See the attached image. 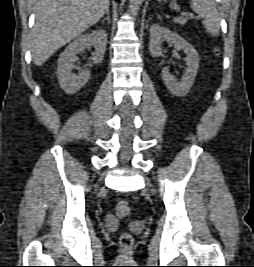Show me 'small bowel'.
<instances>
[{
    "label": "small bowel",
    "mask_w": 254,
    "mask_h": 267,
    "mask_svg": "<svg viewBox=\"0 0 254 267\" xmlns=\"http://www.w3.org/2000/svg\"><path fill=\"white\" fill-rule=\"evenodd\" d=\"M107 221H108L109 223H114V222H115V218H114V216H113V215H108V216H107Z\"/></svg>",
    "instance_id": "1"
}]
</instances>
